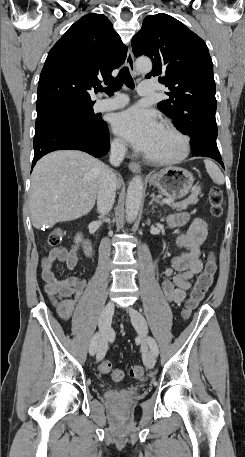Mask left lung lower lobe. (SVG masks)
<instances>
[{
	"mask_svg": "<svg viewBox=\"0 0 245 457\" xmlns=\"http://www.w3.org/2000/svg\"><path fill=\"white\" fill-rule=\"evenodd\" d=\"M177 129L190 136L193 156L213 158L224 167L216 144L217 124L215 114L202 112L192 115Z\"/></svg>",
	"mask_w": 245,
	"mask_h": 457,
	"instance_id": "left-lung-lower-lobe-1",
	"label": "left lung lower lobe"
}]
</instances>
